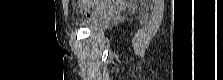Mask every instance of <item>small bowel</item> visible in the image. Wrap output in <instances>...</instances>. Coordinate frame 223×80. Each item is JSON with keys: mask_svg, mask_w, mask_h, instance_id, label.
<instances>
[{"mask_svg": "<svg viewBox=\"0 0 223 80\" xmlns=\"http://www.w3.org/2000/svg\"><path fill=\"white\" fill-rule=\"evenodd\" d=\"M108 9L109 8L107 6H105V5H102V4H99V3H95V4L88 5L86 8L83 9V12L88 17H91V16H95V15L104 13Z\"/></svg>", "mask_w": 223, "mask_h": 80, "instance_id": "1", "label": "small bowel"}]
</instances>
